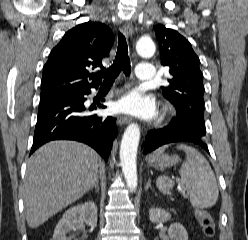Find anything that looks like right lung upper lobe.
Wrapping results in <instances>:
<instances>
[{
  "instance_id": "1",
  "label": "right lung upper lobe",
  "mask_w": 248,
  "mask_h": 240,
  "mask_svg": "<svg viewBox=\"0 0 248 240\" xmlns=\"http://www.w3.org/2000/svg\"><path fill=\"white\" fill-rule=\"evenodd\" d=\"M114 38L108 26L85 22L69 30L54 47L43 68L40 99L70 95L98 87L101 79L90 70L100 67Z\"/></svg>"
}]
</instances>
